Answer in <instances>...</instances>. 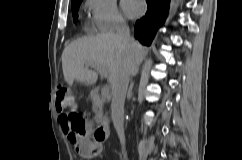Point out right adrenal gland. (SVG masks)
I'll return each instance as SVG.
<instances>
[{
  "mask_svg": "<svg viewBox=\"0 0 242 160\" xmlns=\"http://www.w3.org/2000/svg\"><path fill=\"white\" fill-rule=\"evenodd\" d=\"M134 83H131L127 92V99H131L132 97V89H133Z\"/></svg>",
  "mask_w": 242,
  "mask_h": 160,
  "instance_id": "right-adrenal-gland-1",
  "label": "right adrenal gland"
}]
</instances>
